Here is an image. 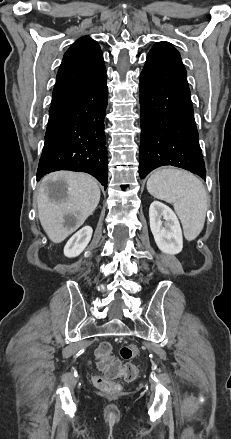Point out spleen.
I'll return each instance as SVG.
<instances>
[{
    "label": "spleen",
    "mask_w": 231,
    "mask_h": 439,
    "mask_svg": "<svg viewBox=\"0 0 231 439\" xmlns=\"http://www.w3.org/2000/svg\"><path fill=\"white\" fill-rule=\"evenodd\" d=\"M147 190L155 198L174 205L187 240L200 234L205 223L207 194L195 175L177 169L157 170L149 177Z\"/></svg>",
    "instance_id": "1"
}]
</instances>
